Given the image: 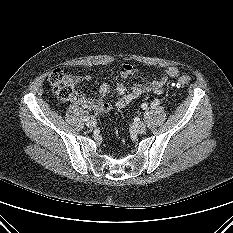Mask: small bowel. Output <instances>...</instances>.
<instances>
[{
  "mask_svg": "<svg viewBox=\"0 0 233 233\" xmlns=\"http://www.w3.org/2000/svg\"><path fill=\"white\" fill-rule=\"evenodd\" d=\"M136 73V68L131 63H125L123 65L120 77L122 80L129 78ZM179 75V70L175 66H169L164 69L162 75L152 81L146 83L135 84L130 89H127L122 81H110L104 82L100 86V94L102 96H107L113 91L117 93L118 99L115 104L112 105L109 102L102 101L97 98H81L78 100L83 107L101 113H107L113 109V107L123 108L127 106L131 101L138 98L143 94H162L163 86L169 78H176ZM93 75L88 73L84 76H77L74 78L75 82H80L83 80H91Z\"/></svg>",
  "mask_w": 233,
  "mask_h": 233,
  "instance_id": "c3829d8e",
  "label": "small bowel"
}]
</instances>
